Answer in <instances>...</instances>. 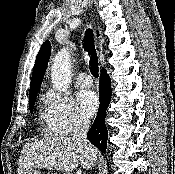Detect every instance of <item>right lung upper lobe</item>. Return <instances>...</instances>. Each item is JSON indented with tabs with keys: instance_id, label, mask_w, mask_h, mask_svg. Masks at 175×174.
<instances>
[{
	"instance_id": "right-lung-upper-lobe-1",
	"label": "right lung upper lobe",
	"mask_w": 175,
	"mask_h": 174,
	"mask_svg": "<svg viewBox=\"0 0 175 174\" xmlns=\"http://www.w3.org/2000/svg\"><path fill=\"white\" fill-rule=\"evenodd\" d=\"M50 53H51V45L50 42L47 41L42 45L36 58L31 78L29 100L36 97V94L41 86L43 76L47 68Z\"/></svg>"
}]
</instances>
